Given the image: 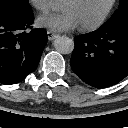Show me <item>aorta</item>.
<instances>
[{
  "mask_svg": "<svg viewBox=\"0 0 128 128\" xmlns=\"http://www.w3.org/2000/svg\"><path fill=\"white\" fill-rule=\"evenodd\" d=\"M54 47L61 54H70L74 50V41L67 36H60L54 40Z\"/></svg>",
  "mask_w": 128,
  "mask_h": 128,
  "instance_id": "762f6f07",
  "label": "aorta"
}]
</instances>
